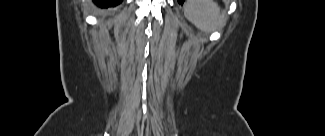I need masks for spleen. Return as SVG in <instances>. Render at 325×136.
Listing matches in <instances>:
<instances>
[{"mask_svg": "<svg viewBox=\"0 0 325 136\" xmlns=\"http://www.w3.org/2000/svg\"><path fill=\"white\" fill-rule=\"evenodd\" d=\"M185 16L199 29L217 31L225 25L226 18L212 0H188L184 5Z\"/></svg>", "mask_w": 325, "mask_h": 136, "instance_id": "spleen-1", "label": "spleen"}]
</instances>
